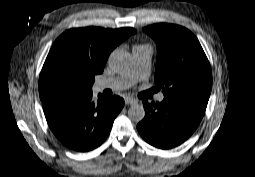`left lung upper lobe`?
Returning a JSON list of instances; mask_svg holds the SVG:
<instances>
[{
  "mask_svg": "<svg viewBox=\"0 0 255 177\" xmlns=\"http://www.w3.org/2000/svg\"><path fill=\"white\" fill-rule=\"evenodd\" d=\"M157 45L154 81L165 86L164 98L209 100L212 74L197 38L186 28L154 24L143 28Z\"/></svg>",
  "mask_w": 255,
  "mask_h": 177,
  "instance_id": "1",
  "label": "left lung upper lobe"
}]
</instances>
